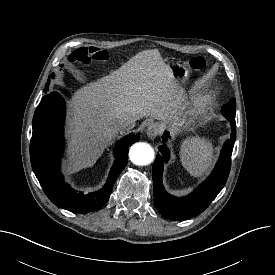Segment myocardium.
<instances>
[{
  "instance_id": "f54148a6",
  "label": "myocardium",
  "mask_w": 275,
  "mask_h": 275,
  "mask_svg": "<svg viewBox=\"0 0 275 275\" xmlns=\"http://www.w3.org/2000/svg\"><path fill=\"white\" fill-rule=\"evenodd\" d=\"M211 104V96L208 94H200L196 96L192 102L190 103L188 110L183 118L184 124H189L196 119H198L201 115L205 113L208 107Z\"/></svg>"
}]
</instances>
